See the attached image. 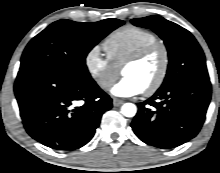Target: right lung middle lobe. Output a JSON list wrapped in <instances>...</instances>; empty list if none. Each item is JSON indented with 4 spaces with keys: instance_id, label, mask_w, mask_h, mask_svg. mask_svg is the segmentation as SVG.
<instances>
[{
    "instance_id": "obj_1",
    "label": "right lung middle lobe",
    "mask_w": 220,
    "mask_h": 173,
    "mask_svg": "<svg viewBox=\"0 0 220 173\" xmlns=\"http://www.w3.org/2000/svg\"><path fill=\"white\" fill-rule=\"evenodd\" d=\"M123 24L124 21L113 18L94 23L56 21L29 42L20 70H50L74 80L91 79L85 64L87 54Z\"/></svg>"
}]
</instances>
